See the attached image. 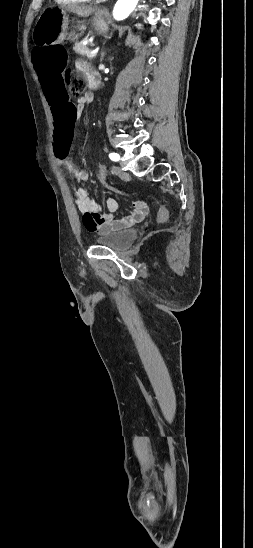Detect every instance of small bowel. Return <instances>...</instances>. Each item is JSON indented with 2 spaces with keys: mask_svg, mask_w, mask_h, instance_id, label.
Masks as SVG:
<instances>
[{
  "mask_svg": "<svg viewBox=\"0 0 253 548\" xmlns=\"http://www.w3.org/2000/svg\"><path fill=\"white\" fill-rule=\"evenodd\" d=\"M78 68L89 78L96 75L90 65L86 62H78ZM42 88L44 92V87ZM93 99L92 93H86L78 99L76 105L77 116L81 110L93 102ZM54 142L55 141L53 140V143ZM55 159L59 165L67 168L69 174L73 176L78 183L85 182L88 179V172L72 163L69 157L62 159H57L55 157ZM73 198L78 209L85 214L83 221L86 229L90 232L99 234L130 227L142 220L148 212L147 205L143 201H135L133 202L132 209L127 215L116 217L114 213L116 212L118 205L114 198L107 199L106 209H102V207L81 188L74 191Z\"/></svg>",
  "mask_w": 253,
  "mask_h": 548,
  "instance_id": "1",
  "label": "small bowel"
}]
</instances>
